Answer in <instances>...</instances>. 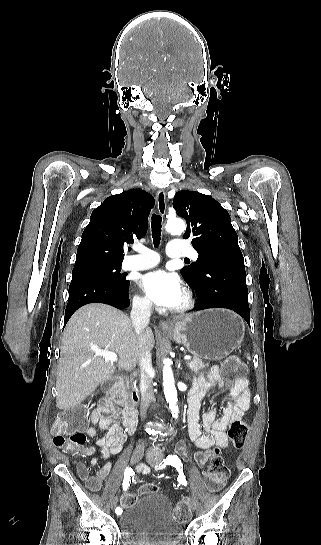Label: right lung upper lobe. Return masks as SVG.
Instances as JSON below:
<instances>
[{
    "mask_svg": "<svg viewBox=\"0 0 321 545\" xmlns=\"http://www.w3.org/2000/svg\"><path fill=\"white\" fill-rule=\"evenodd\" d=\"M154 198L141 189H130L106 198L96 208L83 231L74 269L93 265L121 264L124 244L147 232Z\"/></svg>",
    "mask_w": 321,
    "mask_h": 545,
    "instance_id": "obj_1",
    "label": "right lung upper lobe"
}]
</instances>
